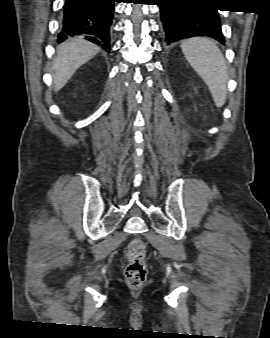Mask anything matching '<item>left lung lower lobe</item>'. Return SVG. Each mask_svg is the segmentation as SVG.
Wrapping results in <instances>:
<instances>
[{"mask_svg":"<svg viewBox=\"0 0 270 338\" xmlns=\"http://www.w3.org/2000/svg\"><path fill=\"white\" fill-rule=\"evenodd\" d=\"M167 44L208 36L224 44L221 20L211 0H158Z\"/></svg>","mask_w":270,"mask_h":338,"instance_id":"obj_1","label":"left lung lower lobe"}]
</instances>
